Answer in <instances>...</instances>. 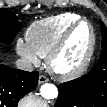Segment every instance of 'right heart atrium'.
Masks as SVG:
<instances>
[{
	"instance_id": "obj_1",
	"label": "right heart atrium",
	"mask_w": 107,
	"mask_h": 107,
	"mask_svg": "<svg viewBox=\"0 0 107 107\" xmlns=\"http://www.w3.org/2000/svg\"><path fill=\"white\" fill-rule=\"evenodd\" d=\"M16 51L17 53L31 64H39V55L33 50L26 40L21 38L16 41Z\"/></svg>"
}]
</instances>
